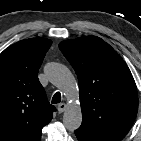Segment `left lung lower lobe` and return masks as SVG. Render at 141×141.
I'll return each instance as SVG.
<instances>
[{
  "label": "left lung lower lobe",
  "mask_w": 141,
  "mask_h": 141,
  "mask_svg": "<svg viewBox=\"0 0 141 141\" xmlns=\"http://www.w3.org/2000/svg\"><path fill=\"white\" fill-rule=\"evenodd\" d=\"M75 134L79 141H94L92 139L87 138L86 136H84L82 133L78 131H75Z\"/></svg>",
  "instance_id": "0a47b994"
}]
</instances>
